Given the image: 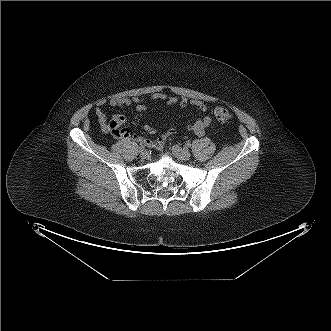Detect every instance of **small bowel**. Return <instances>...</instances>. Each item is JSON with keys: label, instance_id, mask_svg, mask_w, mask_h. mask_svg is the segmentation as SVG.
Returning a JSON list of instances; mask_svg holds the SVG:
<instances>
[{"label": "small bowel", "instance_id": "1", "mask_svg": "<svg viewBox=\"0 0 331 331\" xmlns=\"http://www.w3.org/2000/svg\"><path fill=\"white\" fill-rule=\"evenodd\" d=\"M152 101L163 102L166 105L172 106L177 105L181 108H185L187 106H193L200 114L206 112L207 106L204 102L200 100H191L188 98L178 99L175 96H170L165 93H155L149 98ZM109 105L111 107H129L134 106L138 111H151L154 110L155 107L149 106L146 104V99L140 96H133L131 98L126 97H113L109 100L101 99L97 103L96 108V116L98 122L100 123L104 132L111 134L114 138H120L125 140H132L134 142L147 145L149 147H153L155 149L161 148L167 139L180 132H192L196 135H203L211 123L210 117L208 116H200L198 117L194 123L189 124L183 128H170L164 133H162L157 139L154 141H150L140 135L132 134L129 129L123 128V125L126 121V118L122 114H113L111 118H108L107 114L104 112V107ZM144 131L148 134H155L156 130L151 125L146 124L143 127Z\"/></svg>", "mask_w": 331, "mask_h": 331}]
</instances>
